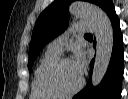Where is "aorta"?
<instances>
[{
    "instance_id": "762f6f07",
    "label": "aorta",
    "mask_w": 128,
    "mask_h": 99,
    "mask_svg": "<svg viewBox=\"0 0 128 99\" xmlns=\"http://www.w3.org/2000/svg\"><path fill=\"white\" fill-rule=\"evenodd\" d=\"M70 14L88 20L96 37V56L92 72V84L97 86L105 76L114 44L112 24L106 13L98 6L85 1L70 5Z\"/></svg>"
}]
</instances>
